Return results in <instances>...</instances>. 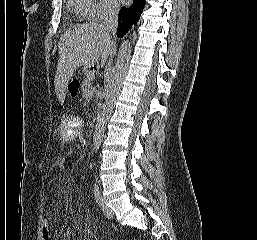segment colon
I'll list each match as a JSON object with an SVG mask.
<instances>
[{
	"label": "colon",
	"mask_w": 257,
	"mask_h": 240,
	"mask_svg": "<svg viewBox=\"0 0 257 240\" xmlns=\"http://www.w3.org/2000/svg\"><path fill=\"white\" fill-rule=\"evenodd\" d=\"M81 80L79 77H73L68 83V93L72 97H76L79 93ZM40 236L42 240H50L49 222L45 218L42 220L40 225Z\"/></svg>",
	"instance_id": "5ec220e1"
}]
</instances>
